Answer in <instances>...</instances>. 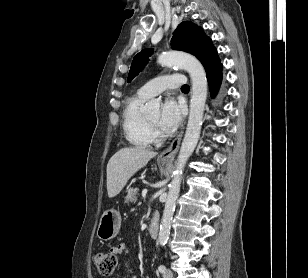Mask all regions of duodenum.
Wrapping results in <instances>:
<instances>
[{
	"label": "duodenum",
	"mask_w": 308,
	"mask_h": 278,
	"mask_svg": "<svg viewBox=\"0 0 308 278\" xmlns=\"http://www.w3.org/2000/svg\"><path fill=\"white\" fill-rule=\"evenodd\" d=\"M148 232L152 239H156L159 235V223L155 216L150 217Z\"/></svg>",
	"instance_id": "410a0bca"
}]
</instances>
